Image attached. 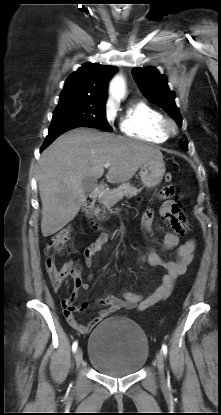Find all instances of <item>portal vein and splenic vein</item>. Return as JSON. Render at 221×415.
<instances>
[{
	"mask_svg": "<svg viewBox=\"0 0 221 415\" xmlns=\"http://www.w3.org/2000/svg\"><path fill=\"white\" fill-rule=\"evenodd\" d=\"M103 166H104L105 168H108V167H110V166H111V163H110V162H106V163H104V164H103Z\"/></svg>",
	"mask_w": 221,
	"mask_h": 415,
	"instance_id": "18ae733b",
	"label": "portal vein and splenic vein"
}]
</instances>
